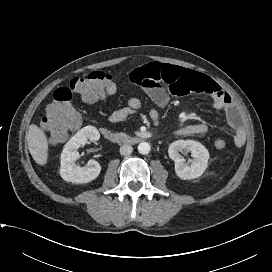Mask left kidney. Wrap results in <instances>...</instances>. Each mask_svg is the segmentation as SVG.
Instances as JSON below:
<instances>
[{"label":"left kidney","mask_w":272,"mask_h":272,"mask_svg":"<svg viewBox=\"0 0 272 272\" xmlns=\"http://www.w3.org/2000/svg\"><path fill=\"white\" fill-rule=\"evenodd\" d=\"M191 152L193 161L185 163L179 152ZM169 157L175 162V172L180 179L189 180L200 177L208 166L209 152L200 142L193 140H177L168 148Z\"/></svg>","instance_id":"left-kidney-1"}]
</instances>
